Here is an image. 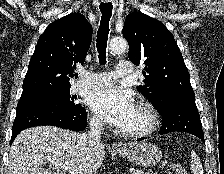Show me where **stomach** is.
<instances>
[{"label":"stomach","instance_id":"1","mask_svg":"<svg viewBox=\"0 0 224 174\" xmlns=\"http://www.w3.org/2000/svg\"><path fill=\"white\" fill-rule=\"evenodd\" d=\"M117 153L141 167L155 166L162 157L159 148L151 143H137L130 145L128 150L117 151Z\"/></svg>","mask_w":224,"mask_h":174}]
</instances>
